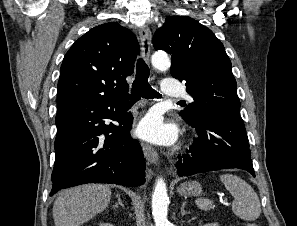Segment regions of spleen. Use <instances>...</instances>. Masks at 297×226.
Returning <instances> with one entry per match:
<instances>
[{"label":"spleen","mask_w":297,"mask_h":226,"mask_svg":"<svg viewBox=\"0 0 297 226\" xmlns=\"http://www.w3.org/2000/svg\"><path fill=\"white\" fill-rule=\"evenodd\" d=\"M220 180L234 197L233 213L246 221L258 219L261 213V205L254 189L245 180L233 174L220 175ZM196 205L200 209L208 211L212 208L213 202L207 198H200L196 200Z\"/></svg>","instance_id":"obj_1"}]
</instances>
